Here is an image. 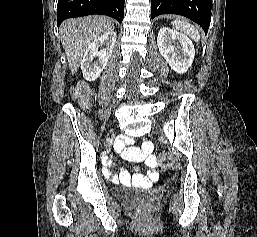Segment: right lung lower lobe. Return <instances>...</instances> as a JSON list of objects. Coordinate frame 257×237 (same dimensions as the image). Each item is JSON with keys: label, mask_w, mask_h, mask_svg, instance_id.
Segmentation results:
<instances>
[{"label": "right lung lower lobe", "mask_w": 257, "mask_h": 237, "mask_svg": "<svg viewBox=\"0 0 257 237\" xmlns=\"http://www.w3.org/2000/svg\"><path fill=\"white\" fill-rule=\"evenodd\" d=\"M125 0H58V26L67 18L102 14L122 23Z\"/></svg>", "instance_id": "right-lung-lower-lobe-1"}]
</instances>
